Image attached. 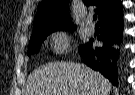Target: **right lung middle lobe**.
I'll use <instances>...</instances> for the list:
<instances>
[{"label": "right lung middle lobe", "instance_id": "right-lung-middle-lobe-1", "mask_svg": "<svg viewBox=\"0 0 135 95\" xmlns=\"http://www.w3.org/2000/svg\"><path fill=\"white\" fill-rule=\"evenodd\" d=\"M52 32H53L52 30H47V31L32 33V36L30 38L29 48H28V56L34 53H38L42 42ZM81 47L82 46H80L79 48Z\"/></svg>", "mask_w": 135, "mask_h": 95}]
</instances>
